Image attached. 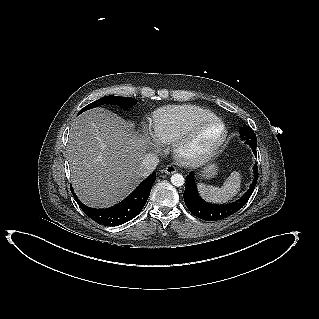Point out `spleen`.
Wrapping results in <instances>:
<instances>
[{"label":"spleen","mask_w":319,"mask_h":319,"mask_svg":"<svg viewBox=\"0 0 319 319\" xmlns=\"http://www.w3.org/2000/svg\"><path fill=\"white\" fill-rule=\"evenodd\" d=\"M240 185L241 174L238 171H234L221 188L200 183L198 184V190L200 195L207 201L227 202L239 192Z\"/></svg>","instance_id":"1"}]
</instances>
